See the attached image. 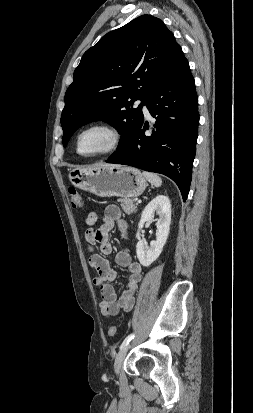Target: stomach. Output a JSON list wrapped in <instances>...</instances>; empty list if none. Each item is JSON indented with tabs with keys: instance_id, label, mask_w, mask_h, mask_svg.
<instances>
[{
	"instance_id": "stomach-1",
	"label": "stomach",
	"mask_w": 253,
	"mask_h": 413,
	"mask_svg": "<svg viewBox=\"0 0 253 413\" xmlns=\"http://www.w3.org/2000/svg\"><path fill=\"white\" fill-rule=\"evenodd\" d=\"M69 180L75 187L99 197H136L147 186L140 170L121 165L74 169L69 172Z\"/></svg>"
}]
</instances>
